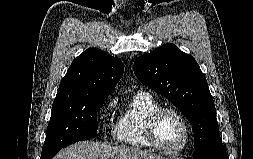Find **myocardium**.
I'll return each mask as SVG.
<instances>
[{
    "label": "myocardium",
    "instance_id": "f54148a6",
    "mask_svg": "<svg viewBox=\"0 0 253 159\" xmlns=\"http://www.w3.org/2000/svg\"><path fill=\"white\" fill-rule=\"evenodd\" d=\"M165 112L174 113L180 119L184 127V139L181 145L177 147L176 149L163 148L159 144L158 139H157V135H156L157 122L160 116ZM145 136L148 143L151 145V147L155 148L161 153L165 155H178L184 151V149L187 147L190 141V126L185 116L178 109L169 107V106H159L158 108L153 110L147 118V121L145 124Z\"/></svg>",
    "mask_w": 253,
    "mask_h": 159
}]
</instances>
